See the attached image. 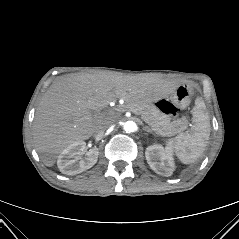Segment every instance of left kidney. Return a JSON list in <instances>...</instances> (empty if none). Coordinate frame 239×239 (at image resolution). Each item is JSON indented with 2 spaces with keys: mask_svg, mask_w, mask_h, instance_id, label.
Wrapping results in <instances>:
<instances>
[{
  "mask_svg": "<svg viewBox=\"0 0 239 239\" xmlns=\"http://www.w3.org/2000/svg\"><path fill=\"white\" fill-rule=\"evenodd\" d=\"M145 156L150 168L161 176H171L174 171L173 150L161 145H151L146 148Z\"/></svg>",
  "mask_w": 239,
  "mask_h": 239,
  "instance_id": "left-kidney-1",
  "label": "left kidney"
}]
</instances>
